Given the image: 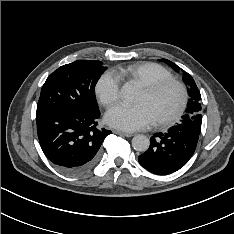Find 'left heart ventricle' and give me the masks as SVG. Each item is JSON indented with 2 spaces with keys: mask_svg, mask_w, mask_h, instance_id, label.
Returning <instances> with one entry per match:
<instances>
[{
  "mask_svg": "<svg viewBox=\"0 0 234 234\" xmlns=\"http://www.w3.org/2000/svg\"><path fill=\"white\" fill-rule=\"evenodd\" d=\"M179 102L180 93L175 87H168L152 97L147 96L142 90L136 100L137 104L147 107L153 121L168 117L177 108Z\"/></svg>",
  "mask_w": 234,
  "mask_h": 234,
  "instance_id": "b2bd125f",
  "label": "left heart ventricle"
}]
</instances>
